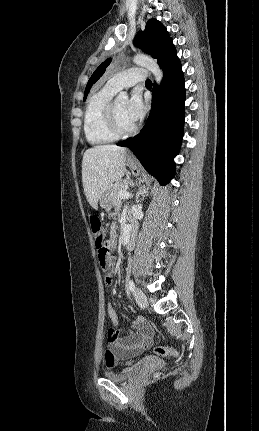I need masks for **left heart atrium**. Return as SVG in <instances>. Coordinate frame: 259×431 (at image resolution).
Segmentation results:
<instances>
[{"mask_svg": "<svg viewBox=\"0 0 259 431\" xmlns=\"http://www.w3.org/2000/svg\"><path fill=\"white\" fill-rule=\"evenodd\" d=\"M125 113L133 124L143 118L145 114V105L139 91H134L127 100Z\"/></svg>", "mask_w": 259, "mask_h": 431, "instance_id": "39dd6f15", "label": "left heart atrium"}]
</instances>
